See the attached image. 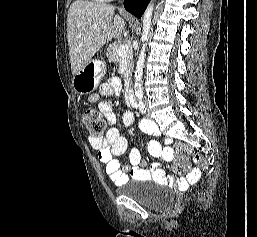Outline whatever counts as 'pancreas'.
<instances>
[{
    "label": "pancreas",
    "mask_w": 257,
    "mask_h": 237,
    "mask_svg": "<svg viewBox=\"0 0 257 237\" xmlns=\"http://www.w3.org/2000/svg\"><path fill=\"white\" fill-rule=\"evenodd\" d=\"M121 47V44L119 42H114L110 44L107 48L106 56L110 61H118L119 56L117 54L118 49ZM126 60H127V67H128V76L132 75L133 72V52L128 51L126 54Z\"/></svg>",
    "instance_id": "pancreas-1"
}]
</instances>
